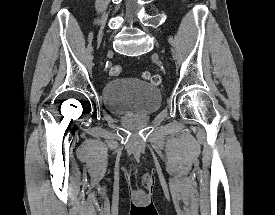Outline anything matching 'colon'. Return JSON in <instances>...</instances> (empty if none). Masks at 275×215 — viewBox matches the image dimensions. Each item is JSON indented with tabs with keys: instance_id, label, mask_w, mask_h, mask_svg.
Returning <instances> with one entry per match:
<instances>
[{
	"instance_id": "obj_1",
	"label": "colon",
	"mask_w": 275,
	"mask_h": 215,
	"mask_svg": "<svg viewBox=\"0 0 275 215\" xmlns=\"http://www.w3.org/2000/svg\"><path fill=\"white\" fill-rule=\"evenodd\" d=\"M122 68L119 65H112L109 69V75L111 77H117L121 74ZM144 79L148 80L153 85H158L161 82V78L156 73L144 72Z\"/></svg>"
}]
</instances>
